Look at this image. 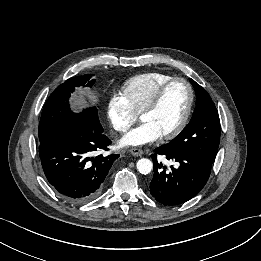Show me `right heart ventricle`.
Masks as SVG:
<instances>
[{
  "mask_svg": "<svg viewBox=\"0 0 261 261\" xmlns=\"http://www.w3.org/2000/svg\"><path fill=\"white\" fill-rule=\"evenodd\" d=\"M172 78L171 75L159 71L135 75L124 82L122 94L139 114L153 100L158 90Z\"/></svg>",
  "mask_w": 261,
  "mask_h": 261,
  "instance_id": "e07e8e85",
  "label": "right heart ventricle"
}]
</instances>
